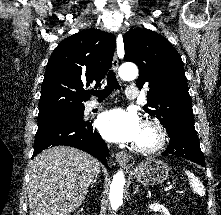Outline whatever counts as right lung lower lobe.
<instances>
[{"label":"right lung lower lobe","mask_w":221,"mask_h":215,"mask_svg":"<svg viewBox=\"0 0 221 215\" xmlns=\"http://www.w3.org/2000/svg\"><path fill=\"white\" fill-rule=\"evenodd\" d=\"M58 145L81 149L96 157L108 168L105 160L108 155L107 145L90 121L62 120L39 125L32 158L42 150Z\"/></svg>","instance_id":"98d812e1"}]
</instances>
